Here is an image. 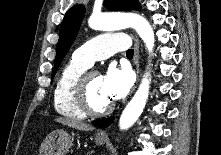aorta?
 I'll return each instance as SVG.
<instances>
[{
  "label": "aorta",
  "mask_w": 221,
  "mask_h": 155,
  "mask_svg": "<svg viewBox=\"0 0 221 155\" xmlns=\"http://www.w3.org/2000/svg\"><path fill=\"white\" fill-rule=\"evenodd\" d=\"M89 27L100 31H115L126 27L136 30L144 41L149 53L154 48V32L149 22L139 14H99L92 15L88 20ZM150 77L146 73L133 98L123 110L119 127L122 130L130 128L139 118L145 107L149 94Z\"/></svg>",
  "instance_id": "1"
}]
</instances>
